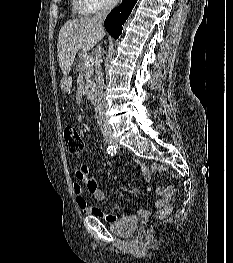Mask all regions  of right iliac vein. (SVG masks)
I'll use <instances>...</instances> for the list:
<instances>
[{
	"mask_svg": "<svg viewBox=\"0 0 233 263\" xmlns=\"http://www.w3.org/2000/svg\"><path fill=\"white\" fill-rule=\"evenodd\" d=\"M105 140L108 144L113 145V146H117V140L114 138V136L112 134H106L105 135Z\"/></svg>",
	"mask_w": 233,
	"mask_h": 263,
	"instance_id": "obj_1",
	"label": "right iliac vein"
}]
</instances>
